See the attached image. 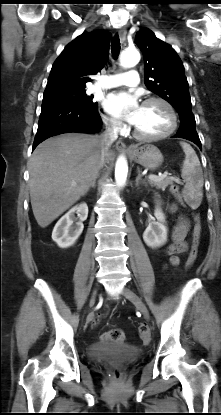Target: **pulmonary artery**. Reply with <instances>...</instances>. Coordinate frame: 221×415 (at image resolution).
<instances>
[{
	"instance_id": "pulmonary-artery-1",
	"label": "pulmonary artery",
	"mask_w": 221,
	"mask_h": 415,
	"mask_svg": "<svg viewBox=\"0 0 221 415\" xmlns=\"http://www.w3.org/2000/svg\"><path fill=\"white\" fill-rule=\"evenodd\" d=\"M139 83V75L135 70L125 73L115 74L104 77L101 81L94 85V89H109L119 86H137Z\"/></svg>"
}]
</instances>
